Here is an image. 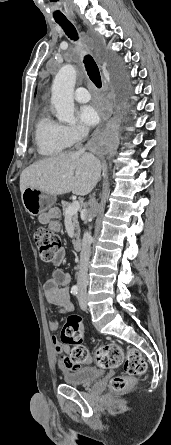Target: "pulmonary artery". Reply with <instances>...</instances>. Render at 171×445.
<instances>
[{"label":"pulmonary artery","mask_w":171,"mask_h":445,"mask_svg":"<svg viewBox=\"0 0 171 445\" xmlns=\"http://www.w3.org/2000/svg\"><path fill=\"white\" fill-rule=\"evenodd\" d=\"M91 96L88 90L84 87H79L75 90V99L78 102L85 103L90 100Z\"/></svg>","instance_id":"obj_1"}]
</instances>
